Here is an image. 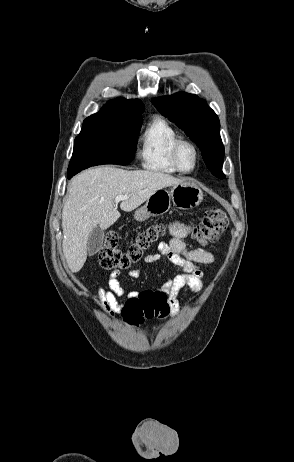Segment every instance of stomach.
Here are the masks:
<instances>
[{
  "label": "stomach",
  "mask_w": 294,
  "mask_h": 462,
  "mask_svg": "<svg viewBox=\"0 0 294 462\" xmlns=\"http://www.w3.org/2000/svg\"><path fill=\"white\" fill-rule=\"evenodd\" d=\"M202 200L203 192L197 185L182 182L173 185L171 190L160 189L154 192L145 205L135 211L134 218L142 222L150 217L162 215L169 211L171 203L178 209L189 210L197 207Z\"/></svg>",
  "instance_id": "0dacf381"
}]
</instances>
